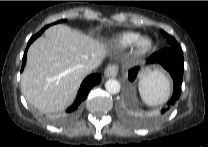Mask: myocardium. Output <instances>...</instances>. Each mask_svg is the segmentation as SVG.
<instances>
[{
  "label": "myocardium",
  "mask_w": 208,
  "mask_h": 147,
  "mask_svg": "<svg viewBox=\"0 0 208 147\" xmlns=\"http://www.w3.org/2000/svg\"><path fill=\"white\" fill-rule=\"evenodd\" d=\"M153 40L149 36H140L133 45V52L136 56H144L153 48Z\"/></svg>",
  "instance_id": "obj_1"
}]
</instances>
